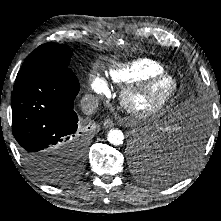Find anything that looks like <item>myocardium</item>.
<instances>
[{"instance_id":"myocardium-1","label":"myocardium","mask_w":221,"mask_h":221,"mask_svg":"<svg viewBox=\"0 0 221 221\" xmlns=\"http://www.w3.org/2000/svg\"><path fill=\"white\" fill-rule=\"evenodd\" d=\"M168 81L170 83L169 91L156 103L143 107L137 102V98L147 92L157 82ZM178 92V81L169 73H158L144 80L138 85H131L126 88L121 95V104L123 108L133 117L147 118L155 117L162 113L166 107L173 101Z\"/></svg>"}]
</instances>
